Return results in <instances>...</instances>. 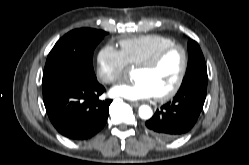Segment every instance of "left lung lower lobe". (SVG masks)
Masks as SVG:
<instances>
[{"label":"left lung lower lobe","instance_id":"0a47b994","mask_svg":"<svg viewBox=\"0 0 249 165\" xmlns=\"http://www.w3.org/2000/svg\"><path fill=\"white\" fill-rule=\"evenodd\" d=\"M207 83L193 82L179 89L172 101L157 110L146 121V127L155 136L172 140L188 132L196 123L203 108Z\"/></svg>","mask_w":249,"mask_h":165}]
</instances>
